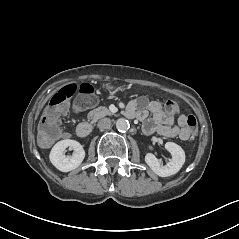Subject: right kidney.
I'll use <instances>...</instances> for the list:
<instances>
[{"instance_id": "1", "label": "right kidney", "mask_w": 239, "mask_h": 239, "mask_svg": "<svg viewBox=\"0 0 239 239\" xmlns=\"http://www.w3.org/2000/svg\"><path fill=\"white\" fill-rule=\"evenodd\" d=\"M69 147L74 150L72 156H65L64 151ZM51 163L62 172H69L76 169L85 157L82 145L75 140H61L57 142L50 152Z\"/></svg>"}]
</instances>
